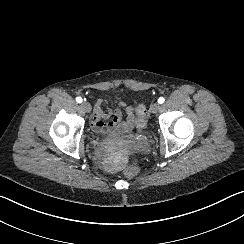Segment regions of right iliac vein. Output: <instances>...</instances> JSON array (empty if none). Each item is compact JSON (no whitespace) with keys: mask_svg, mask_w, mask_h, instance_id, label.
<instances>
[{"mask_svg":"<svg viewBox=\"0 0 244 244\" xmlns=\"http://www.w3.org/2000/svg\"><path fill=\"white\" fill-rule=\"evenodd\" d=\"M81 109L88 112V113L91 112V110H92L91 105L87 102L81 103Z\"/></svg>","mask_w":244,"mask_h":244,"instance_id":"1","label":"right iliac vein"}]
</instances>
